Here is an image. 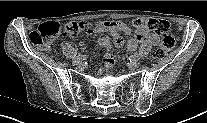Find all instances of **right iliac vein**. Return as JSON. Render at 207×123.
I'll return each mask as SVG.
<instances>
[{"label": "right iliac vein", "instance_id": "1", "mask_svg": "<svg viewBox=\"0 0 207 123\" xmlns=\"http://www.w3.org/2000/svg\"><path fill=\"white\" fill-rule=\"evenodd\" d=\"M75 64H76L78 67H82V66H83V62H82L81 60L76 61Z\"/></svg>", "mask_w": 207, "mask_h": 123}]
</instances>
